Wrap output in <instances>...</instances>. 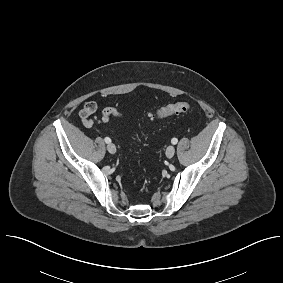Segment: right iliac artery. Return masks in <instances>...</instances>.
Masks as SVG:
<instances>
[{
    "instance_id": "obj_1",
    "label": "right iliac artery",
    "mask_w": 283,
    "mask_h": 283,
    "mask_svg": "<svg viewBox=\"0 0 283 283\" xmlns=\"http://www.w3.org/2000/svg\"><path fill=\"white\" fill-rule=\"evenodd\" d=\"M104 141H105L106 143H111V139H110L109 137H105Z\"/></svg>"
}]
</instances>
